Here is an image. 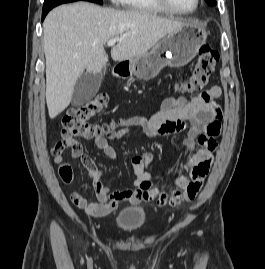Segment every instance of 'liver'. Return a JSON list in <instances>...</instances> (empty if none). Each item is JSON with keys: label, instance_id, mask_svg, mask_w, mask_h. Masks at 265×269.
Returning <instances> with one entry per match:
<instances>
[{"label": "liver", "instance_id": "liver-1", "mask_svg": "<svg viewBox=\"0 0 265 269\" xmlns=\"http://www.w3.org/2000/svg\"><path fill=\"white\" fill-rule=\"evenodd\" d=\"M183 21L154 14L77 2L49 12L43 23L46 58V103L51 119L71 102L78 78L96 75L108 62L105 43L123 37L111 49L114 61L145 54L162 38L182 27Z\"/></svg>", "mask_w": 265, "mask_h": 269}]
</instances>
